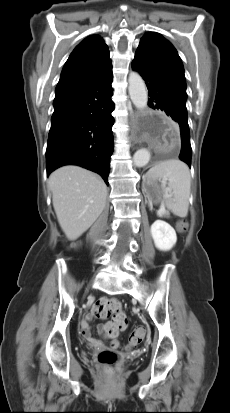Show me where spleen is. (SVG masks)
Returning <instances> with one entry per match:
<instances>
[{
    "label": "spleen",
    "instance_id": "obj_1",
    "mask_svg": "<svg viewBox=\"0 0 230 413\" xmlns=\"http://www.w3.org/2000/svg\"><path fill=\"white\" fill-rule=\"evenodd\" d=\"M146 176L161 181L167 198L165 202L167 209L178 217H186L191 190L188 166L177 159L167 160L152 167Z\"/></svg>",
    "mask_w": 230,
    "mask_h": 413
}]
</instances>
